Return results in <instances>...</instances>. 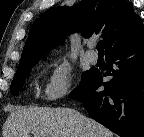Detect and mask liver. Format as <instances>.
<instances>
[{"label": "liver", "instance_id": "6515ba94", "mask_svg": "<svg viewBox=\"0 0 144 137\" xmlns=\"http://www.w3.org/2000/svg\"><path fill=\"white\" fill-rule=\"evenodd\" d=\"M113 137L103 125L69 108L22 107L4 123L3 137Z\"/></svg>", "mask_w": 144, "mask_h": 137}]
</instances>
